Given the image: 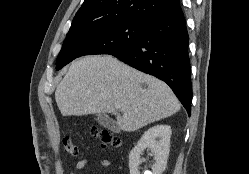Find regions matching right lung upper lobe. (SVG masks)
Here are the masks:
<instances>
[{
  "label": "right lung upper lobe",
  "instance_id": "obj_1",
  "mask_svg": "<svg viewBox=\"0 0 249 174\" xmlns=\"http://www.w3.org/2000/svg\"><path fill=\"white\" fill-rule=\"evenodd\" d=\"M180 11L179 0H85L69 32L124 19L147 21Z\"/></svg>",
  "mask_w": 249,
  "mask_h": 174
}]
</instances>
